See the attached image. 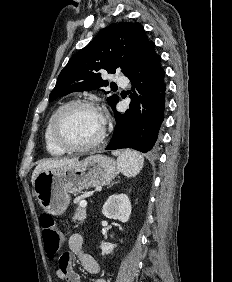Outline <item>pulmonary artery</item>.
<instances>
[{
    "label": "pulmonary artery",
    "mask_w": 232,
    "mask_h": 282,
    "mask_svg": "<svg viewBox=\"0 0 232 282\" xmlns=\"http://www.w3.org/2000/svg\"><path fill=\"white\" fill-rule=\"evenodd\" d=\"M115 82L120 86H126L128 83L127 79L123 76H117Z\"/></svg>",
    "instance_id": "obj_1"
}]
</instances>
